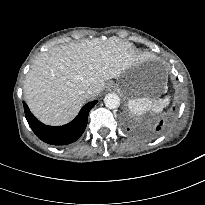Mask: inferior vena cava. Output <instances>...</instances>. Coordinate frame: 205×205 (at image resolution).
Returning <instances> with one entry per match:
<instances>
[{"label": "inferior vena cava", "mask_w": 205, "mask_h": 205, "mask_svg": "<svg viewBox=\"0 0 205 205\" xmlns=\"http://www.w3.org/2000/svg\"><path fill=\"white\" fill-rule=\"evenodd\" d=\"M87 93H88V94H92L91 88H87Z\"/></svg>", "instance_id": "602c4592"}]
</instances>
